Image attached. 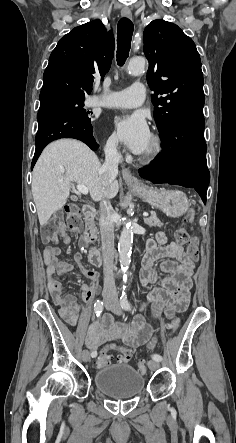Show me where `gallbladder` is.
I'll return each mask as SVG.
<instances>
[{"instance_id": "1", "label": "gallbladder", "mask_w": 236, "mask_h": 443, "mask_svg": "<svg viewBox=\"0 0 236 443\" xmlns=\"http://www.w3.org/2000/svg\"><path fill=\"white\" fill-rule=\"evenodd\" d=\"M77 199L76 196H71V200L75 201Z\"/></svg>"}]
</instances>
